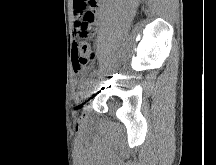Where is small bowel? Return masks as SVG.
<instances>
[{
	"instance_id": "small-bowel-1",
	"label": "small bowel",
	"mask_w": 216,
	"mask_h": 165,
	"mask_svg": "<svg viewBox=\"0 0 216 165\" xmlns=\"http://www.w3.org/2000/svg\"><path fill=\"white\" fill-rule=\"evenodd\" d=\"M73 8L75 14V29L78 28L82 22L83 16L86 12H91L93 15L90 22V29L92 31L100 24L103 16V3L102 0H73Z\"/></svg>"
}]
</instances>
